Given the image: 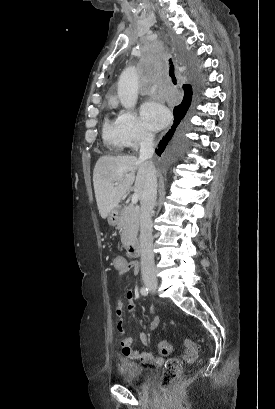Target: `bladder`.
I'll return each mask as SVG.
<instances>
[{"label": "bladder", "mask_w": 275, "mask_h": 409, "mask_svg": "<svg viewBox=\"0 0 275 409\" xmlns=\"http://www.w3.org/2000/svg\"><path fill=\"white\" fill-rule=\"evenodd\" d=\"M118 380L140 390L145 383L155 379L153 368L143 367L132 361H119L116 365Z\"/></svg>", "instance_id": "31cf9c89"}]
</instances>
